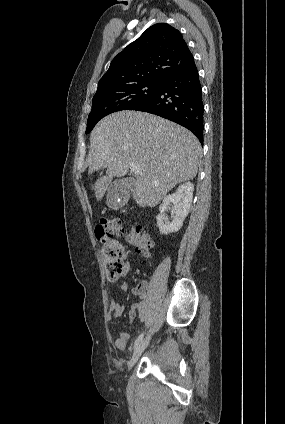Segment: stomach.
Masks as SVG:
<instances>
[{
  "label": "stomach",
  "mask_w": 285,
  "mask_h": 424,
  "mask_svg": "<svg viewBox=\"0 0 285 424\" xmlns=\"http://www.w3.org/2000/svg\"><path fill=\"white\" fill-rule=\"evenodd\" d=\"M107 204L111 207H116L117 206V202L111 198L107 199Z\"/></svg>",
  "instance_id": "1"
}]
</instances>
